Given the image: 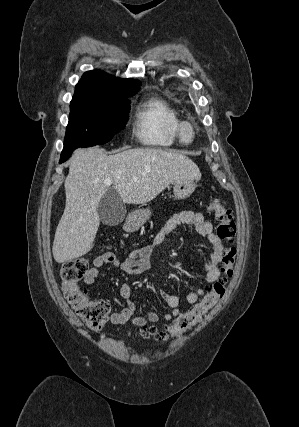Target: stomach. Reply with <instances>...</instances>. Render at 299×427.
<instances>
[{"mask_svg":"<svg viewBox=\"0 0 299 427\" xmlns=\"http://www.w3.org/2000/svg\"><path fill=\"white\" fill-rule=\"evenodd\" d=\"M196 183L192 179H181L173 183V193L176 200H184L195 191ZM149 208L137 209L129 214L126 220L127 229L130 231L139 229L151 217Z\"/></svg>","mask_w":299,"mask_h":427,"instance_id":"obj_1","label":"stomach"}]
</instances>
